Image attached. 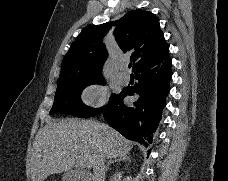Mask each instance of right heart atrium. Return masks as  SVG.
Wrapping results in <instances>:
<instances>
[{
  "label": "right heart atrium",
  "mask_w": 228,
  "mask_h": 181,
  "mask_svg": "<svg viewBox=\"0 0 228 181\" xmlns=\"http://www.w3.org/2000/svg\"><path fill=\"white\" fill-rule=\"evenodd\" d=\"M106 98V89L102 85H94L84 94V100L91 105H101Z\"/></svg>",
  "instance_id": "right-heart-atrium-1"
}]
</instances>
